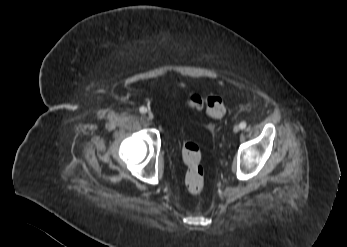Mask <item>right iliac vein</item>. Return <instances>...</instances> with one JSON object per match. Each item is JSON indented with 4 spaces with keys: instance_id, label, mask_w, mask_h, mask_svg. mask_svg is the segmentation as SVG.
<instances>
[{
    "instance_id": "right-iliac-vein-1",
    "label": "right iliac vein",
    "mask_w": 347,
    "mask_h": 247,
    "mask_svg": "<svg viewBox=\"0 0 347 247\" xmlns=\"http://www.w3.org/2000/svg\"><path fill=\"white\" fill-rule=\"evenodd\" d=\"M147 117L149 120H152L154 118L153 114L151 112L147 113Z\"/></svg>"
}]
</instances>
